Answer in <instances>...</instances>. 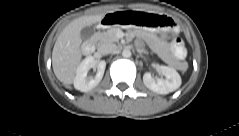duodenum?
Wrapping results in <instances>:
<instances>
[{"label": "duodenum", "mask_w": 239, "mask_h": 136, "mask_svg": "<svg viewBox=\"0 0 239 136\" xmlns=\"http://www.w3.org/2000/svg\"><path fill=\"white\" fill-rule=\"evenodd\" d=\"M113 23H115V18L113 16H108L102 20L101 25H110ZM94 50L95 42H88L84 45L83 51L85 54L90 55L94 52Z\"/></svg>", "instance_id": "410a0bca"}]
</instances>
